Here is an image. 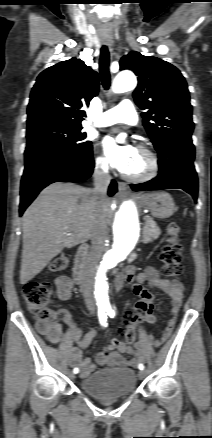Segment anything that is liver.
<instances>
[{
    "instance_id": "6515ba94",
    "label": "liver",
    "mask_w": 212,
    "mask_h": 438,
    "mask_svg": "<svg viewBox=\"0 0 212 438\" xmlns=\"http://www.w3.org/2000/svg\"><path fill=\"white\" fill-rule=\"evenodd\" d=\"M109 206L106 199L105 229ZM100 213L91 189L64 182L47 186L23 215L21 284L39 274L64 248L91 238Z\"/></svg>"
}]
</instances>
